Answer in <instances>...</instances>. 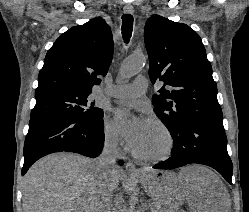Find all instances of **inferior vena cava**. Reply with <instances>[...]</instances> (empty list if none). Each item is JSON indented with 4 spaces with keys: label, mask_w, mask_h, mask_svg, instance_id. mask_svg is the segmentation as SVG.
I'll return each instance as SVG.
<instances>
[{
    "label": "inferior vena cava",
    "mask_w": 249,
    "mask_h": 212,
    "mask_svg": "<svg viewBox=\"0 0 249 212\" xmlns=\"http://www.w3.org/2000/svg\"><path fill=\"white\" fill-rule=\"evenodd\" d=\"M118 140H105L103 150L94 160L98 164L97 188L100 196L101 212H113V202L111 198V174L116 166L118 158Z\"/></svg>",
    "instance_id": "obj_1"
}]
</instances>
